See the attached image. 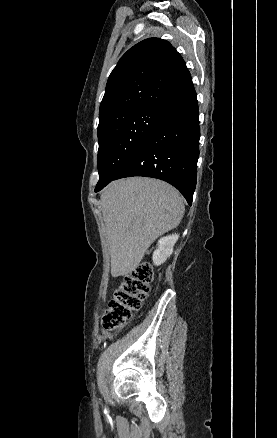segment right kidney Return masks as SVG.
I'll return each mask as SVG.
<instances>
[{"label": "right kidney", "mask_w": 277, "mask_h": 438, "mask_svg": "<svg viewBox=\"0 0 277 438\" xmlns=\"http://www.w3.org/2000/svg\"><path fill=\"white\" fill-rule=\"evenodd\" d=\"M178 238L179 234H172V236H165V238L158 240L156 250L153 252L154 266H161L173 254V248Z\"/></svg>", "instance_id": "right-kidney-1"}]
</instances>
